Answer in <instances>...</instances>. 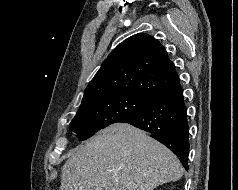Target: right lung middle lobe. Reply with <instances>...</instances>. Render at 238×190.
Returning a JSON list of instances; mask_svg holds the SVG:
<instances>
[{"mask_svg":"<svg viewBox=\"0 0 238 190\" xmlns=\"http://www.w3.org/2000/svg\"><path fill=\"white\" fill-rule=\"evenodd\" d=\"M150 100L134 95L118 94L82 102L70 128L80 140H85L102 128L144 110Z\"/></svg>","mask_w":238,"mask_h":190,"instance_id":"obj_1","label":"right lung middle lobe"}]
</instances>
